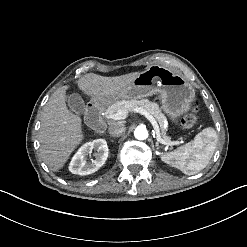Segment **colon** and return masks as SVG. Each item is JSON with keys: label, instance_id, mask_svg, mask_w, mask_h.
I'll use <instances>...</instances> for the list:
<instances>
[{"label": "colon", "instance_id": "5ec220e1", "mask_svg": "<svg viewBox=\"0 0 247 247\" xmlns=\"http://www.w3.org/2000/svg\"><path fill=\"white\" fill-rule=\"evenodd\" d=\"M192 108H193V111H196L197 104L194 103ZM195 121L196 119L191 113L184 114L180 117V123L185 127L191 126L192 124H194Z\"/></svg>", "mask_w": 247, "mask_h": 247}]
</instances>
